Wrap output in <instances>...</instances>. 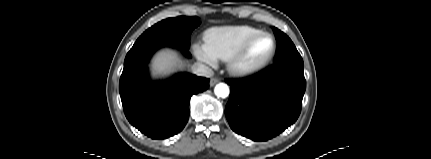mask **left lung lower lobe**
<instances>
[{
  "instance_id": "0a47b994",
  "label": "left lung lower lobe",
  "mask_w": 431,
  "mask_h": 159,
  "mask_svg": "<svg viewBox=\"0 0 431 159\" xmlns=\"http://www.w3.org/2000/svg\"><path fill=\"white\" fill-rule=\"evenodd\" d=\"M304 64L283 61L244 79L226 80L225 115L231 129L253 141H267L295 123L306 89Z\"/></svg>"
}]
</instances>
